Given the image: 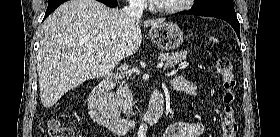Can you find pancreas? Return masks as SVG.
<instances>
[{"label":"pancreas","mask_w":280,"mask_h":137,"mask_svg":"<svg viewBox=\"0 0 280 137\" xmlns=\"http://www.w3.org/2000/svg\"><path fill=\"white\" fill-rule=\"evenodd\" d=\"M187 53L184 51L175 52L171 54H160V60L165 62V67H174L186 59ZM122 82L116 93H112L108 99V109L114 113L120 114L123 110L124 113H130L133 106V99L128 85Z\"/></svg>","instance_id":"1"}]
</instances>
